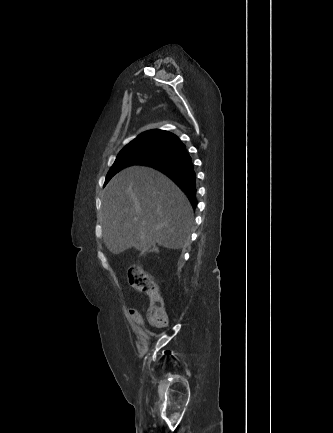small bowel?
Returning <instances> with one entry per match:
<instances>
[{"mask_svg": "<svg viewBox=\"0 0 333 433\" xmlns=\"http://www.w3.org/2000/svg\"><path fill=\"white\" fill-rule=\"evenodd\" d=\"M129 317H130V321L133 325H135V327L140 331V334L143 337H147L148 336V331L144 326V321L143 318L141 316V313L139 310L135 309V308H131L129 309Z\"/></svg>", "mask_w": 333, "mask_h": 433, "instance_id": "c3829d8e", "label": "small bowel"}]
</instances>
